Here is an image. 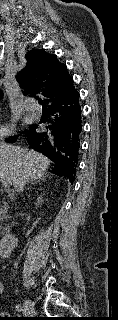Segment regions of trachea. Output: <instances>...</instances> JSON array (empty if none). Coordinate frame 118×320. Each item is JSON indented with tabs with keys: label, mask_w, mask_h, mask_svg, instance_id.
Masks as SVG:
<instances>
[{
	"label": "trachea",
	"mask_w": 118,
	"mask_h": 320,
	"mask_svg": "<svg viewBox=\"0 0 118 320\" xmlns=\"http://www.w3.org/2000/svg\"><path fill=\"white\" fill-rule=\"evenodd\" d=\"M39 103L42 104L43 107H46L42 99L39 100Z\"/></svg>",
	"instance_id": "1"
}]
</instances>
